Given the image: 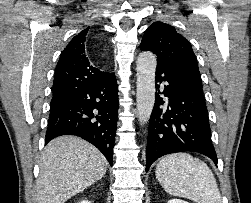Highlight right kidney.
I'll use <instances>...</instances> for the list:
<instances>
[{
  "instance_id": "right-kidney-1",
  "label": "right kidney",
  "mask_w": 251,
  "mask_h": 203,
  "mask_svg": "<svg viewBox=\"0 0 251 203\" xmlns=\"http://www.w3.org/2000/svg\"><path fill=\"white\" fill-rule=\"evenodd\" d=\"M79 203H91V202L88 201V200H83V201H81V202H79Z\"/></svg>"
}]
</instances>
